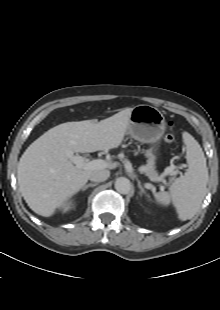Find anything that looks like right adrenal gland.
<instances>
[{"label": "right adrenal gland", "instance_id": "1", "mask_svg": "<svg viewBox=\"0 0 220 310\" xmlns=\"http://www.w3.org/2000/svg\"><path fill=\"white\" fill-rule=\"evenodd\" d=\"M97 184L98 183H89V184L83 186L81 190L85 191L88 187H95V186H97Z\"/></svg>", "mask_w": 220, "mask_h": 310}]
</instances>
